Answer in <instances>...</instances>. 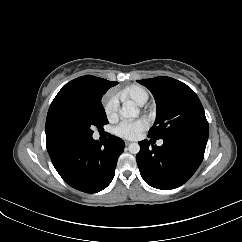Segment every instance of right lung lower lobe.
<instances>
[{"instance_id": "obj_1", "label": "right lung lower lobe", "mask_w": 242, "mask_h": 242, "mask_svg": "<svg viewBox=\"0 0 242 242\" xmlns=\"http://www.w3.org/2000/svg\"><path fill=\"white\" fill-rule=\"evenodd\" d=\"M52 163L71 187L86 193L105 189L112 181L125 144L111 136L102 144L92 136L75 133L47 141Z\"/></svg>"}]
</instances>
